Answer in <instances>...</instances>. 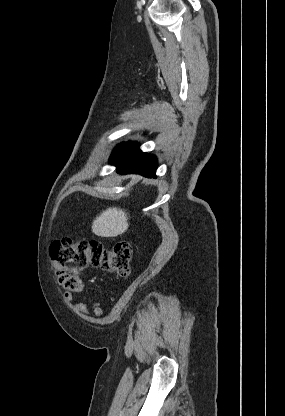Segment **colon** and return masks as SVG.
Returning a JSON list of instances; mask_svg holds the SVG:
<instances>
[{"label": "colon", "instance_id": "5ec220e1", "mask_svg": "<svg viewBox=\"0 0 285 416\" xmlns=\"http://www.w3.org/2000/svg\"><path fill=\"white\" fill-rule=\"evenodd\" d=\"M50 255L56 264L59 283L72 292L82 289L80 272L88 266L126 277L132 257V247L120 241L104 247L98 241L65 238L52 243Z\"/></svg>", "mask_w": 285, "mask_h": 416}]
</instances>
